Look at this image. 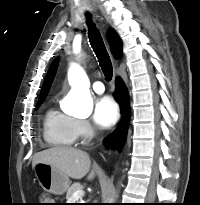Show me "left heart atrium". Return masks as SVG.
Returning a JSON list of instances; mask_svg holds the SVG:
<instances>
[{"label":"left heart atrium","mask_w":200,"mask_h":205,"mask_svg":"<svg viewBox=\"0 0 200 205\" xmlns=\"http://www.w3.org/2000/svg\"><path fill=\"white\" fill-rule=\"evenodd\" d=\"M93 118L99 126L103 128L111 127L119 118L117 103L110 96L100 98L95 104Z\"/></svg>","instance_id":"obj_1"}]
</instances>
